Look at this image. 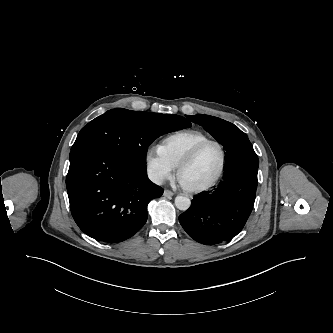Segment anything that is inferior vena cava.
Segmentation results:
<instances>
[{
	"instance_id": "inferior-vena-cava-1",
	"label": "inferior vena cava",
	"mask_w": 333,
	"mask_h": 333,
	"mask_svg": "<svg viewBox=\"0 0 333 333\" xmlns=\"http://www.w3.org/2000/svg\"><path fill=\"white\" fill-rule=\"evenodd\" d=\"M148 177L153 183L157 185L163 184L164 178L161 175H159L157 172L149 171Z\"/></svg>"
}]
</instances>
